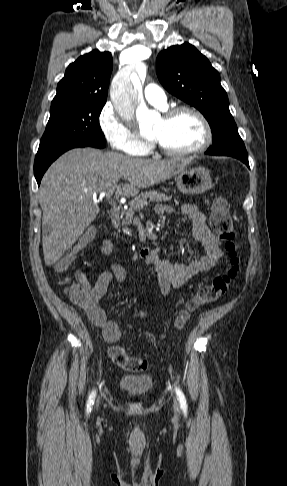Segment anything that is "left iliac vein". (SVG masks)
Returning <instances> with one entry per match:
<instances>
[{
	"label": "left iliac vein",
	"instance_id": "obj_1",
	"mask_svg": "<svg viewBox=\"0 0 287 486\" xmlns=\"http://www.w3.org/2000/svg\"><path fill=\"white\" fill-rule=\"evenodd\" d=\"M173 409H174L175 414L178 415V413H179V406H178L177 401H174Z\"/></svg>",
	"mask_w": 287,
	"mask_h": 486
}]
</instances>
